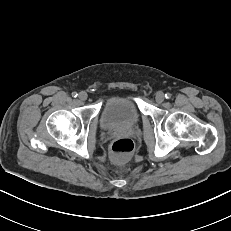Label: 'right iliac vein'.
Here are the masks:
<instances>
[{
    "instance_id": "obj_1",
    "label": "right iliac vein",
    "mask_w": 231,
    "mask_h": 231,
    "mask_svg": "<svg viewBox=\"0 0 231 231\" xmlns=\"http://www.w3.org/2000/svg\"><path fill=\"white\" fill-rule=\"evenodd\" d=\"M78 98H79L81 101H85V100H87L88 95H87V93H86L85 91H81V92L79 93V95H78Z\"/></svg>"
}]
</instances>
